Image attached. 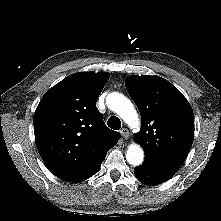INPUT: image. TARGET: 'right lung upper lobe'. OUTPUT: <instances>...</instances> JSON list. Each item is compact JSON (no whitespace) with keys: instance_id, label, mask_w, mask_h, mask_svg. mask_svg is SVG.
Instances as JSON below:
<instances>
[{"instance_id":"right-lung-upper-lobe-1","label":"right lung upper lobe","mask_w":221,"mask_h":221,"mask_svg":"<svg viewBox=\"0 0 221 221\" xmlns=\"http://www.w3.org/2000/svg\"><path fill=\"white\" fill-rule=\"evenodd\" d=\"M110 75H69L42 97L34 114L38 151L59 178L80 182L105 159L120 134L110 130L96 100Z\"/></svg>"}]
</instances>
